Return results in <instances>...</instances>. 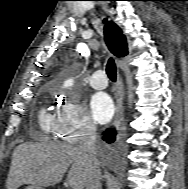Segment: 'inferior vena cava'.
I'll return each instance as SVG.
<instances>
[{
    "instance_id": "inferior-vena-cava-1",
    "label": "inferior vena cava",
    "mask_w": 188,
    "mask_h": 189,
    "mask_svg": "<svg viewBox=\"0 0 188 189\" xmlns=\"http://www.w3.org/2000/svg\"><path fill=\"white\" fill-rule=\"evenodd\" d=\"M96 142V126L93 123H88L81 131L79 142V149L89 159L91 163V176L89 177L86 189H101V172L99 169V162L97 159V146Z\"/></svg>"
}]
</instances>
